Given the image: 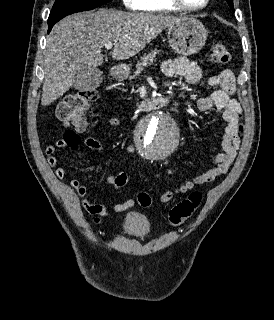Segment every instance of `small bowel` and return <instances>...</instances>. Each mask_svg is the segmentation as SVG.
Listing matches in <instances>:
<instances>
[{
  "label": "small bowel",
  "instance_id": "small-bowel-1",
  "mask_svg": "<svg viewBox=\"0 0 274 320\" xmlns=\"http://www.w3.org/2000/svg\"><path fill=\"white\" fill-rule=\"evenodd\" d=\"M163 73L168 77L180 76L185 78L189 85L197 86L207 83L214 87V91L206 97H201L197 100L196 106L200 111H207L215 107L222 113L226 122L223 131L222 152L219 153L211 167L206 171L198 174L192 180L187 181L174 189L167 190L160 196V201L163 203L171 201L176 195L187 193L198 185H202L213 181L215 178L224 174L237 155L238 146L241 135L244 132L242 109L239 102L233 97L236 89V76L230 69H222L215 75L204 80L199 64L196 61H191L184 56H177L166 60L162 66ZM75 131H84L87 126L92 124L90 119H74ZM119 124L117 119L109 120V125L116 126ZM83 145L94 151H101L103 146L101 142L93 137H86L82 141ZM66 146L62 140H55L50 146H43V153H48V164L55 167L57 158L53 153L61 147ZM126 151L135 153L136 148L133 145H127ZM55 174L59 179L65 176V170L61 167L55 170ZM125 175V173H120ZM118 174V175H120ZM117 175V176H118ZM167 175L171 176L172 171H167ZM115 175H108L105 181L109 185H114ZM70 186L75 190L79 197L83 208L93 216L94 223H100L103 217L111 213H121L129 209L134 201L129 199L123 203H117L112 206H107L100 202H91L88 199V190L79 180L72 179Z\"/></svg>",
  "mask_w": 274,
  "mask_h": 320
}]
</instances>
